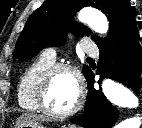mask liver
I'll return each mask as SVG.
<instances>
[{"label": "liver", "instance_id": "liver-1", "mask_svg": "<svg viewBox=\"0 0 142 128\" xmlns=\"http://www.w3.org/2000/svg\"><path fill=\"white\" fill-rule=\"evenodd\" d=\"M24 119H34V120H43L45 119V117H43L42 115H37V114H33V113H25V114H22L17 122H20Z\"/></svg>", "mask_w": 142, "mask_h": 128}]
</instances>
